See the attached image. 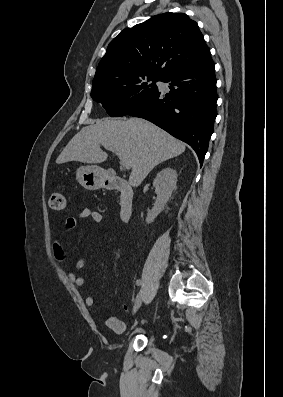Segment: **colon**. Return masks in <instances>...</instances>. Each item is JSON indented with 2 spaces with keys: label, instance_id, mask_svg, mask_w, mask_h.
<instances>
[{
  "label": "colon",
  "instance_id": "colon-1",
  "mask_svg": "<svg viewBox=\"0 0 283 397\" xmlns=\"http://www.w3.org/2000/svg\"><path fill=\"white\" fill-rule=\"evenodd\" d=\"M49 207L53 210L60 211L66 207V199L63 194L53 192L48 199Z\"/></svg>",
  "mask_w": 283,
  "mask_h": 397
}]
</instances>
